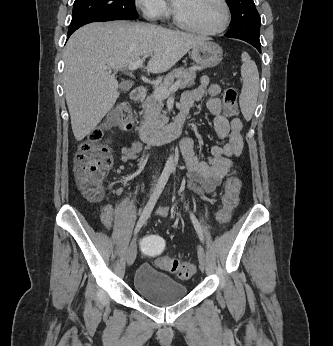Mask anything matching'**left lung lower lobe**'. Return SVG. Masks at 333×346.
<instances>
[{"instance_id": "left-lung-lower-lobe-1", "label": "left lung lower lobe", "mask_w": 333, "mask_h": 346, "mask_svg": "<svg viewBox=\"0 0 333 346\" xmlns=\"http://www.w3.org/2000/svg\"><path fill=\"white\" fill-rule=\"evenodd\" d=\"M226 37H232V38H236L230 35L225 34ZM239 39V38H238ZM242 40V39H241ZM245 41V40H244ZM248 43H250L251 45H253L260 53H261V44L260 42H255V41H246Z\"/></svg>"}]
</instances>
